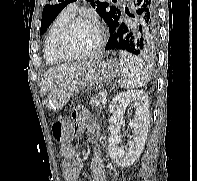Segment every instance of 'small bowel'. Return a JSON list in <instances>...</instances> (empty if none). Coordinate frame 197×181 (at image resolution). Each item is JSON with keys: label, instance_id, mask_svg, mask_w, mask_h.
Wrapping results in <instances>:
<instances>
[{"label": "small bowel", "instance_id": "obj_1", "mask_svg": "<svg viewBox=\"0 0 197 181\" xmlns=\"http://www.w3.org/2000/svg\"><path fill=\"white\" fill-rule=\"evenodd\" d=\"M72 128L76 134L86 133L89 140L96 143L99 139V129L96 120L90 116L84 107H78L72 113ZM64 159L63 175L66 181H78L83 163L76 156L75 149L71 144H62L60 149ZM91 181H106L104 163L99 150L90 162Z\"/></svg>", "mask_w": 197, "mask_h": 181}]
</instances>
